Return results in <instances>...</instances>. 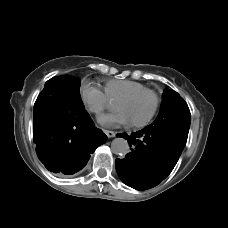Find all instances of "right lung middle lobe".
Returning <instances> with one entry per match:
<instances>
[{
  "label": "right lung middle lobe",
  "instance_id": "1",
  "mask_svg": "<svg viewBox=\"0 0 228 228\" xmlns=\"http://www.w3.org/2000/svg\"><path fill=\"white\" fill-rule=\"evenodd\" d=\"M80 79L69 76H57L53 77L45 83L44 89L52 90L55 99L61 103L68 105H74L82 107L83 103L80 96ZM43 97L38 96L35 103L41 100Z\"/></svg>",
  "mask_w": 228,
  "mask_h": 228
}]
</instances>
